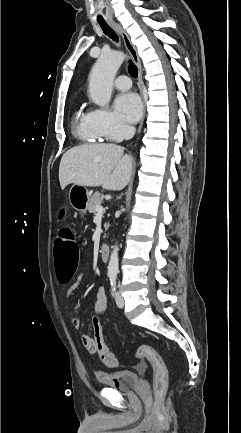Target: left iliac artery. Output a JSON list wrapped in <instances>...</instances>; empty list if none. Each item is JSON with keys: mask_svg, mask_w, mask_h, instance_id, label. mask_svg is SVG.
Wrapping results in <instances>:
<instances>
[{"mask_svg": "<svg viewBox=\"0 0 241 433\" xmlns=\"http://www.w3.org/2000/svg\"><path fill=\"white\" fill-rule=\"evenodd\" d=\"M110 281H111L112 295H114V292L116 290V277L115 276H111Z\"/></svg>", "mask_w": 241, "mask_h": 433, "instance_id": "44dca946", "label": "left iliac artery"}]
</instances>
